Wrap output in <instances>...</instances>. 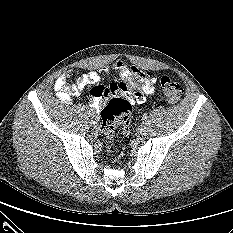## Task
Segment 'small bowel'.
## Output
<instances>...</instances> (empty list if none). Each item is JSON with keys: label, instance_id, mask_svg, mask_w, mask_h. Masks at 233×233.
I'll list each match as a JSON object with an SVG mask.
<instances>
[{"label": "small bowel", "instance_id": "1", "mask_svg": "<svg viewBox=\"0 0 233 233\" xmlns=\"http://www.w3.org/2000/svg\"><path fill=\"white\" fill-rule=\"evenodd\" d=\"M133 67H128L123 61H116L111 67L101 69V73L109 74L112 70L118 72L121 80L111 83L109 86L98 85L101 81V75L97 71H91L88 74L77 75L74 83H69L71 76L70 72L62 73L54 84V89L57 97L64 103L70 104L74 97H77L87 86L94 85L91 89L92 106L99 109L103 101L111 96L122 94L128 97L131 105L141 103L145 97L151 96L154 93V83L156 74L152 71H147L146 78L141 85L140 94L134 96L130 93L129 87L131 84L130 71Z\"/></svg>", "mask_w": 233, "mask_h": 233}]
</instances>
